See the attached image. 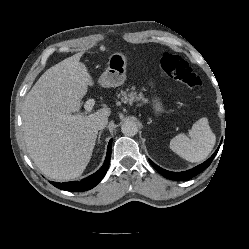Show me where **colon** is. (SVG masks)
<instances>
[{"label":"colon","instance_id":"5ec220e1","mask_svg":"<svg viewBox=\"0 0 249 249\" xmlns=\"http://www.w3.org/2000/svg\"><path fill=\"white\" fill-rule=\"evenodd\" d=\"M160 65L166 75L185 86L194 88L201 85L199 75L180 56L167 53L163 55Z\"/></svg>","mask_w":249,"mask_h":249}]
</instances>
